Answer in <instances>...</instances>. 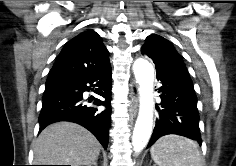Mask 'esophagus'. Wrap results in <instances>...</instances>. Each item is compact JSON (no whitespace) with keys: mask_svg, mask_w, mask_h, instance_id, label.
<instances>
[{"mask_svg":"<svg viewBox=\"0 0 236 166\" xmlns=\"http://www.w3.org/2000/svg\"><path fill=\"white\" fill-rule=\"evenodd\" d=\"M131 94H132L131 95V111L135 115L136 112L138 111V87L134 82L132 83Z\"/></svg>","mask_w":236,"mask_h":166,"instance_id":"34e87169","label":"esophagus"}]
</instances>
